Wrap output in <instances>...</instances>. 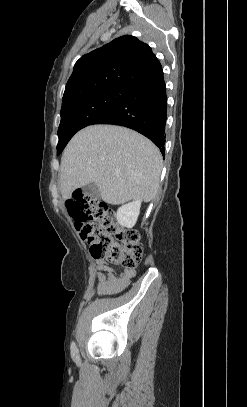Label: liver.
Returning a JSON list of instances; mask_svg holds the SVG:
<instances>
[{
    "instance_id": "obj_1",
    "label": "liver",
    "mask_w": 247,
    "mask_h": 407,
    "mask_svg": "<svg viewBox=\"0 0 247 407\" xmlns=\"http://www.w3.org/2000/svg\"><path fill=\"white\" fill-rule=\"evenodd\" d=\"M162 155L146 137L114 125H92L66 146L60 167L61 194L95 183L103 201L118 205L132 199L150 202L159 189Z\"/></svg>"
}]
</instances>
